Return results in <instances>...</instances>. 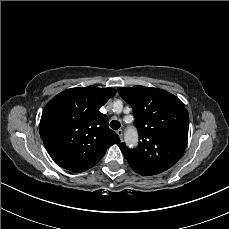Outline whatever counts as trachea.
Here are the masks:
<instances>
[{"label":"trachea","mask_w":229,"mask_h":229,"mask_svg":"<svg viewBox=\"0 0 229 229\" xmlns=\"http://www.w3.org/2000/svg\"><path fill=\"white\" fill-rule=\"evenodd\" d=\"M120 126H121V124H120V122H119L118 120H112V121L110 122V127H111L112 129H114V130L119 129Z\"/></svg>","instance_id":"1"}]
</instances>
